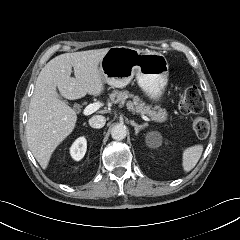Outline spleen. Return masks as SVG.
<instances>
[{
  "label": "spleen",
  "mask_w": 240,
  "mask_h": 240,
  "mask_svg": "<svg viewBox=\"0 0 240 240\" xmlns=\"http://www.w3.org/2000/svg\"><path fill=\"white\" fill-rule=\"evenodd\" d=\"M203 152L202 145H194L186 148L182 155V167L185 172L191 171L199 161Z\"/></svg>",
  "instance_id": "spleen-1"
}]
</instances>
